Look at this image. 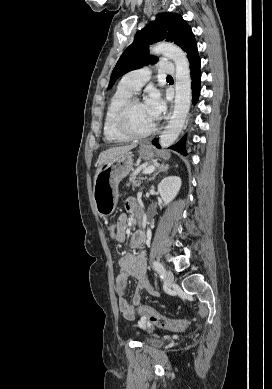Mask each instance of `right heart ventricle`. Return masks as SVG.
Returning <instances> with one entry per match:
<instances>
[{
  "instance_id": "e07e8e85",
  "label": "right heart ventricle",
  "mask_w": 272,
  "mask_h": 389,
  "mask_svg": "<svg viewBox=\"0 0 272 389\" xmlns=\"http://www.w3.org/2000/svg\"><path fill=\"white\" fill-rule=\"evenodd\" d=\"M134 93L129 89L119 85L117 90L111 96L104 117L103 133L105 139L109 142H123L128 138L121 134L116 126V116L121 106L130 98Z\"/></svg>"
}]
</instances>
